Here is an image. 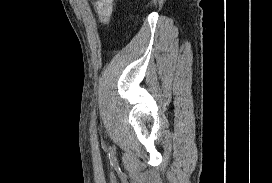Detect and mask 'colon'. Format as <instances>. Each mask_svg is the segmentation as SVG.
I'll return each instance as SVG.
<instances>
[{
	"label": "colon",
	"mask_w": 272,
	"mask_h": 183,
	"mask_svg": "<svg viewBox=\"0 0 272 183\" xmlns=\"http://www.w3.org/2000/svg\"><path fill=\"white\" fill-rule=\"evenodd\" d=\"M114 0H97L96 9L103 23H106L112 13Z\"/></svg>",
	"instance_id": "1"
}]
</instances>
